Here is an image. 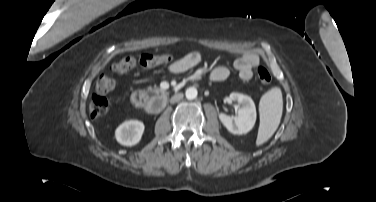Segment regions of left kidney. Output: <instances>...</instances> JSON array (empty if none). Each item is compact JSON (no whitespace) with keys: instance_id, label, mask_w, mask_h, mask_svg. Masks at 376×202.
<instances>
[{"instance_id":"left-kidney-1","label":"left kidney","mask_w":376,"mask_h":202,"mask_svg":"<svg viewBox=\"0 0 376 202\" xmlns=\"http://www.w3.org/2000/svg\"><path fill=\"white\" fill-rule=\"evenodd\" d=\"M229 100L239 103L238 115L233 117L220 113V121L232 134L241 135L248 133L253 128L257 116L253 100L247 95L236 92H232L229 95Z\"/></svg>"}]
</instances>
